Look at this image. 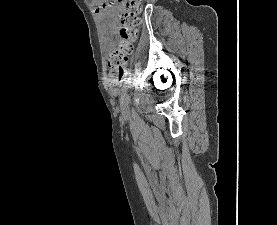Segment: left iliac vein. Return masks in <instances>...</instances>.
Wrapping results in <instances>:
<instances>
[{"mask_svg": "<svg viewBox=\"0 0 277 225\" xmlns=\"http://www.w3.org/2000/svg\"><path fill=\"white\" fill-rule=\"evenodd\" d=\"M129 101L130 96L129 93L126 91L122 94V97L120 99V111L123 117H126L129 113Z\"/></svg>", "mask_w": 277, "mask_h": 225, "instance_id": "obj_1", "label": "left iliac vein"}]
</instances>
